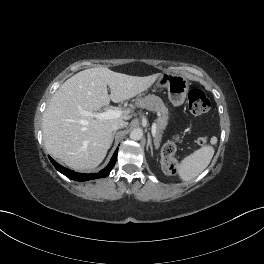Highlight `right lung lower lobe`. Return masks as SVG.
<instances>
[{"label": "right lung lower lobe", "mask_w": 264, "mask_h": 264, "mask_svg": "<svg viewBox=\"0 0 264 264\" xmlns=\"http://www.w3.org/2000/svg\"><path fill=\"white\" fill-rule=\"evenodd\" d=\"M117 152H118V148L114 152V155L111 158L109 164L103 170H101L99 173H92V174H82V173H78V172L69 170V169L64 168L61 165H59L50 156H49V159L52 162V164L54 165V167L59 172H61L65 176H67L68 178L73 179V180H76V181H87V180H91V179L103 178V177L108 176L109 173H110V171H111V169L114 167V165L116 163Z\"/></svg>", "instance_id": "98d812e1"}]
</instances>
